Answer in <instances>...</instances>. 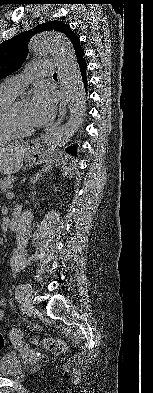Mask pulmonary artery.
<instances>
[{"mask_svg":"<svg viewBox=\"0 0 153 393\" xmlns=\"http://www.w3.org/2000/svg\"><path fill=\"white\" fill-rule=\"evenodd\" d=\"M55 69L54 62L50 60H40L37 63L33 64L29 71V74L17 75L5 80L3 86L16 94H19L23 91L25 86L35 78H37L40 74H51Z\"/></svg>","mask_w":153,"mask_h":393,"instance_id":"pulmonary-artery-1","label":"pulmonary artery"}]
</instances>
